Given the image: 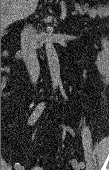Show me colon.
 Returning a JSON list of instances; mask_svg holds the SVG:
<instances>
[{"label": "colon", "mask_w": 109, "mask_h": 170, "mask_svg": "<svg viewBox=\"0 0 109 170\" xmlns=\"http://www.w3.org/2000/svg\"><path fill=\"white\" fill-rule=\"evenodd\" d=\"M30 170H44V168L41 165H34Z\"/></svg>", "instance_id": "obj_1"}]
</instances>
